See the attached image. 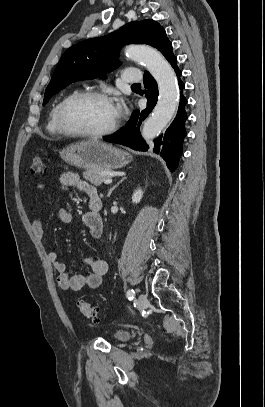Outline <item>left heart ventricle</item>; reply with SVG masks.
I'll use <instances>...</instances> for the list:
<instances>
[{"label":"left heart ventricle","mask_w":265,"mask_h":407,"mask_svg":"<svg viewBox=\"0 0 265 407\" xmlns=\"http://www.w3.org/2000/svg\"><path fill=\"white\" fill-rule=\"evenodd\" d=\"M116 117L113 104L101 99H78L73 101L67 110V121L70 126L86 132L104 130Z\"/></svg>","instance_id":"obj_1"}]
</instances>
